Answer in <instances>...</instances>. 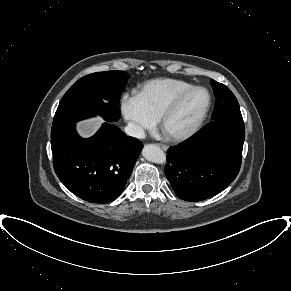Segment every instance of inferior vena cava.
Wrapping results in <instances>:
<instances>
[{
  "label": "inferior vena cava",
  "mask_w": 291,
  "mask_h": 291,
  "mask_svg": "<svg viewBox=\"0 0 291 291\" xmlns=\"http://www.w3.org/2000/svg\"><path fill=\"white\" fill-rule=\"evenodd\" d=\"M124 131L126 134L132 136V137H136V138H140V139H144L145 138V132L144 129L135 123L129 122L125 128Z\"/></svg>",
  "instance_id": "1"
}]
</instances>
